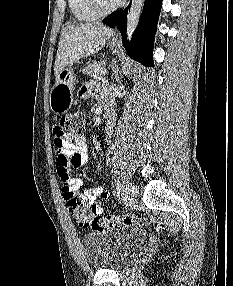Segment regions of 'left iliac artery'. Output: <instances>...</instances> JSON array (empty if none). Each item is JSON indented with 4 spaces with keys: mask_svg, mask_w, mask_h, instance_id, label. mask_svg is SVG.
<instances>
[{
    "mask_svg": "<svg viewBox=\"0 0 233 286\" xmlns=\"http://www.w3.org/2000/svg\"><path fill=\"white\" fill-rule=\"evenodd\" d=\"M116 189H117V197H120L122 195V189H123L120 177H118L116 180Z\"/></svg>",
    "mask_w": 233,
    "mask_h": 286,
    "instance_id": "left-iliac-artery-1",
    "label": "left iliac artery"
}]
</instances>
